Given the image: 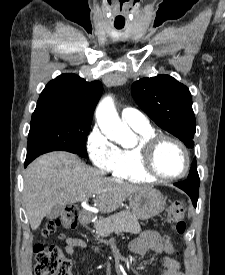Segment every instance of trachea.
<instances>
[{
	"mask_svg": "<svg viewBox=\"0 0 225 275\" xmlns=\"http://www.w3.org/2000/svg\"><path fill=\"white\" fill-rule=\"evenodd\" d=\"M122 27H117V29H121Z\"/></svg>",
	"mask_w": 225,
	"mask_h": 275,
	"instance_id": "obj_1",
	"label": "trachea"
}]
</instances>
